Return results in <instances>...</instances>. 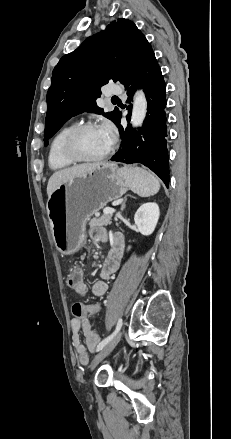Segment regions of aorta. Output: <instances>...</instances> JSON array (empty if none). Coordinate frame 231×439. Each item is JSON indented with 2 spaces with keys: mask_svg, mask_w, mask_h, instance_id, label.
Wrapping results in <instances>:
<instances>
[{
  "mask_svg": "<svg viewBox=\"0 0 231 439\" xmlns=\"http://www.w3.org/2000/svg\"><path fill=\"white\" fill-rule=\"evenodd\" d=\"M147 113V100L143 91L138 90L134 97L133 109L131 115L132 126L138 127L143 124Z\"/></svg>",
  "mask_w": 231,
  "mask_h": 439,
  "instance_id": "1",
  "label": "aorta"
}]
</instances>
